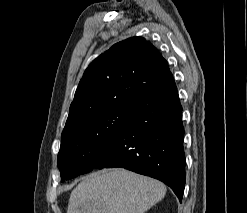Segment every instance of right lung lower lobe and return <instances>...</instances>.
<instances>
[{
	"label": "right lung lower lobe",
	"mask_w": 247,
	"mask_h": 213,
	"mask_svg": "<svg viewBox=\"0 0 247 213\" xmlns=\"http://www.w3.org/2000/svg\"><path fill=\"white\" fill-rule=\"evenodd\" d=\"M131 113L103 148L96 168L121 167L166 183L182 201V107L173 78L130 99Z\"/></svg>",
	"instance_id": "1"
}]
</instances>
